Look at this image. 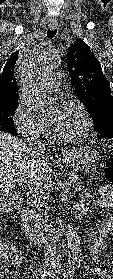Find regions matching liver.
I'll use <instances>...</instances> for the list:
<instances>
[{"mask_svg": "<svg viewBox=\"0 0 113 279\" xmlns=\"http://www.w3.org/2000/svg\"><path fill=\"white\" fill-rule=\"evenodd\" d=\"M49 161L17 137L0 132V207H5L18 177L30 185L41 186L51 176Z\"/></svg>", "mask_w": 113, "mask_h": 279, "instance_id": "1", "label": "liver"}]
</instances>
